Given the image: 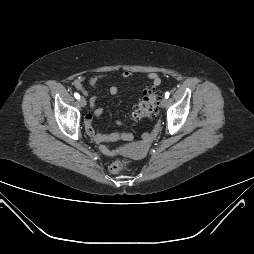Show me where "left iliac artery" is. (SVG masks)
Instances as JSON below:
<instances>
[{
    "instance_id": "obj_1",
    "label": "left iliac artery",
    "mask_w": 254,
    "mask_h": 254,
    "mask_svg": "<svg viewBox=\"0 0 254 254\" xmlns=\"http://www.w3.org/2000/svg\"><path fill=\"white\" fill-rule=\"evenodd\" d=\"M169 96H170V93H169V92H166V93H165V98L167 99V98H169Z\"/></svg>"
}]
</instances>
